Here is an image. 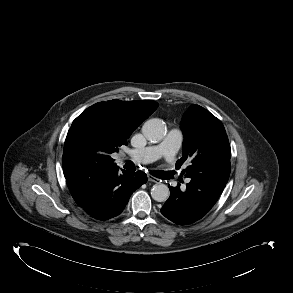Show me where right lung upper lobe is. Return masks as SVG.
Wrapping results in <instances>:
<instances>
[{"instance_id":"cb5924a9","label":"right lung upper lobe","mask_w":293,"mask_h":293,"mask_svg":"<svg viewBox=\"0 0 293 293\" xmlns=\"http://www.w3.org/2000/svg\"><path fill=\"white\" fill-rule=\"evenodd\" d=\"M157 107L158 103L152 100L128 102L115 99L92 105L73 121L64 144L63 171L72 197L87 213L104 215L110 206L94 202L91 198L83 199L82 184L100 172L118 167L110 155L118 152L121 145L127 144L132 132ZM84 153L96 154L102 164L83 169L79 156Z\"/></svg>"}]
</instances>
